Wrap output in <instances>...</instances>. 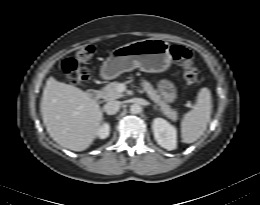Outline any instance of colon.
Returning <instances> with one entry per match:
<instances>
[{"label": "colon", "instance_id": "5ec220e1", "mask_svg": "<svg viewBox=\"0 0 260 205\" xmlns=\"http://www.w3.org/2000/svg\"><path fill=\"white\" fill-rule=\"evenodd\" d=\"M95 53L93 45L82 46L75 50L71 57L62 62V71L68 82L72 85L83 84L88 76L87 70L83 65L89 63ZM171 54L174 60L185 68V81L192 85L198 78V69L194 62L193 53L182 45H173Z\"/></svg>", "mask_w": 260, "mask_h": 205}]
</instances>
